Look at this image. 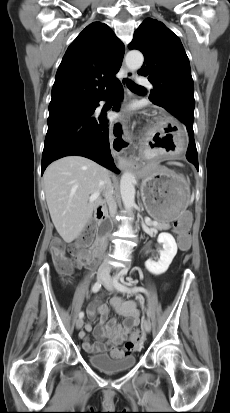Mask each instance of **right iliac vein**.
Here are the masks:
<instances>
[{"instance_id":"63e3f726","label":"right iliac vein","mask_w":230,"mask_h":413,"mask_svg":"<svg viewBox=\"0 0 230 413\" xmlns=\"http://www.w3.org/2000/svg\"><path fill=\"white\" fill-rule=\"evenodd\" d=\"M105 278H106L105 272H99V273L97 274V280H98V281H104ZM83 324H84V320H83L82 318L77 319V321H76V328H77V329H81L82 326H83Z\"/></svg>"}]
</instances>
